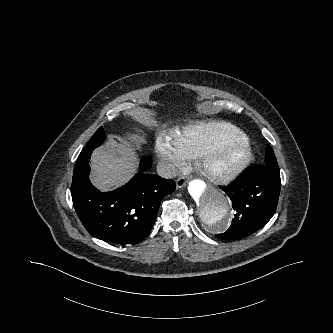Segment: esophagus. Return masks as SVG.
<instances>
[{"instance_id":"obj_1","label":"esophagus","mask_w":333,"mask_h":333,"mask_svg":"<svg viewBox=\"0 0 333 333\" xmlns=\"http://www.w3.org/2000/svg\"><path fill=\"white\" fill-rule=\"evenodd\" d=\"M176 186L178 188H184L186 186V179L184 177H179L176 181Z\"/></svg>"}]
</instances>
